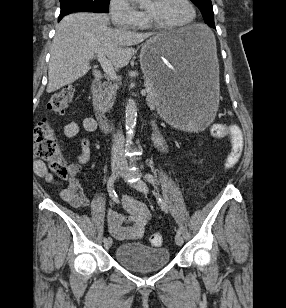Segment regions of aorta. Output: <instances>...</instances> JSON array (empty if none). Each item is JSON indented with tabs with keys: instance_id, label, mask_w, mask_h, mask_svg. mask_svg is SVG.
Masks as SVG:
<instances>
[{
	"instance_id": "762f6f07",
	"label": "aorta",
	"mask_w": 286,
	"mask_h": 308,
	"mask_svg": "<svg viewBox=\"0 0 286 308\" xmlns=\"http://www.w3.org/2000/svg\"><path fill=\"white\" fill-rule=\"evenodd\" d=\"M145 1V0H139ZM137 106L134 99L130 98L125 109V127H126V142L131 143L136 125Z\"/></svg>"
}]
</instances>
